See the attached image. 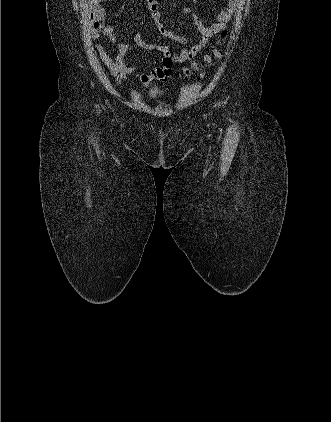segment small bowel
I'll return each mask as SVG.
<instances>
[{
  "instance_id": "obj_1",
  "label": "small bowel",
  "mask_w": 331,
  "mask_h": 422,
  "mask_svg": "<svg viewBox=\"0 0 331 422\" xmlns=\"http://www.w3.org/2000/svg\"><path fill=\"white\" fill-rule=\"evenodd\" d=\"M102 0H94L91 5L93 36L98 40L96 47L104 64L111 71L112 75L119 81L124 82L127 76L135 71V66L127 65L125 58L137 53L143 55L146 51H156L161 54L160 61L148 60L151 67L150 73L141 79L143 85H148L153 80L166 81L172 73L173 66L178 63L192 61L195 56L205 47L208 39L225 28L236 10L240 7L242 0H226L225 7L217 12L211 23L204 25L199 16L191 9L185 8L184 13L192 16L201 38L193 44L187 46L188 40L183 36H178L170 32L160 23V14L157 9L156 0H144L146 8L151 13L158 31L183 47L176 52L171 51L170 45H159L144 41L142 31H138L134 36V44L121 43L116 40L114 27L105 24V10L101 6ZM104 38L117 49L116 57H111L105 48Z\"/></svg>"
}]
</instances>
